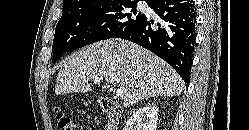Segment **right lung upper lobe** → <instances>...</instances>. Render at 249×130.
Here are the masks:
<instances>
[{"label": "right lung upper lobe", "mask_w": 249, "mask_h": 130, "mask_svg": "<svg viewBox=\"0 0 249 130\" xmlns=\"http://www.w3.org/2000/svg\"><path fill=\"white\" fill-rule=\"evenodd\" d=\"M109 1H112V0H64L63 1V12L76 11V10L83 9L91 5L109 2ZM115 1H120V0H115ZM149 1L150 0H148L147 2Z\"/></svg>", "instance_id": "1"}]
</instances>
